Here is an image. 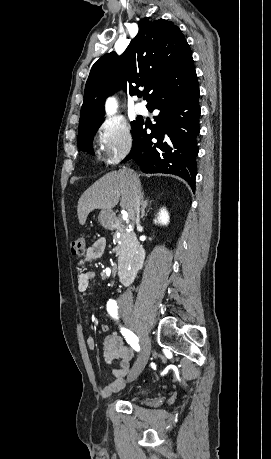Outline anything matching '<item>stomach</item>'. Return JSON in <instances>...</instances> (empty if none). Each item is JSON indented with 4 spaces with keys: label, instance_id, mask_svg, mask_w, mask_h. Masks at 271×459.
Wrapping results in <instances>:
<instances>
[{
    "label": "stomach",
    "instance_id": "obj_1",
    "mask_svg": "<svg viewBox=\"0 0 271 459\" xmlns=\"http://www.w3.org/2000/svg\"><path fill=\"white\" fill-rule=\"evenodd\" d=\"M114 214H112V212H105V210H103V212H101L100 216H99V220L100 222H102V224H111V220L113 218Z\"/></svg>",
    "mask_w": 271,
    "mask_h": 459
}]
</instances>
